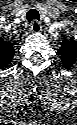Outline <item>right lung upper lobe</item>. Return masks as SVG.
<instances>
[{
  "instance_id": "obj_1",
  "label": "right lung upper lobe",
  "mask_w": 77,
  "mask_h": 125,
  "mask_svg": "<svg viewBox=\"0 0 77 125\" xmlns=\"http://www.w3.org/2000/svg\"><path fill=\"white\" fill-rule=\"evenodd\" d=\"M14 52V48L9 43L0 38V66L2 68L10 64L13 59Z\"/></svg>"
}]
</instances>
